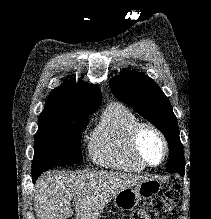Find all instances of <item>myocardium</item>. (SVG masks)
Wrapping results in <instances>:
<instances>
[{
  "label": "myocardium",
  "mask_w": 211,
  "mask_h": 219,
  "mask_svg": "<svg viewBox=\"0 0 211 219\" xmlns=\"http://www.w3.org/2000/svg\"><path fill=\"white\" fill-rule=\"evenodd\" d=\"M146 129L154 132L159 137L162 143V147H163L162 157H161V160L156 164H152L148 162L144 158L141 152V149H140V138H141L142 133ZM131 147H132V151L136 159L147 168L159 167L162 164H164V162L166 161L168 157V153H169L168 141H167L165 134L162 132V130L159 127H157L155 124L150 123V122H140L139 124L136 125V127L134 128L132 132V136H131Z\"/></svg>",
  "instance_id": "myocardium-1"
}]
</instances>
